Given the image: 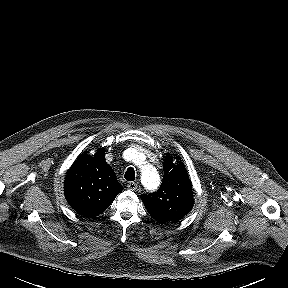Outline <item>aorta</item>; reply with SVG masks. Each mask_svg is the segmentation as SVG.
<instances>
[{
	"label": "aorta",
	"instance_id": "aorta-1",
	"mask_svg": "<svg viewBox=\"0 0 288 288\" xmlns=\"http://www.w3.org/2000/svg\"><path fill=\"white\" fill-rule=\"evenodd\" d=\"M136 156L138 157L139 155H136ZM141 179H142V183L144 184V186L149 189H155L160 184L159 174L157 173L156 169L150 165H142Z\"/></svg>",
	"mask_w": 288,
	"mask_h": 288
}]
</instances>
